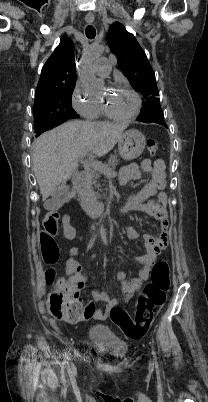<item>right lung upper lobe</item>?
Here are the masks:
<instances>
[{
  "instance_id": "right-lung-upper-lobe-1",
  "label": "right lung upper lobe",
  "mask_w": 208,
  "mask_h": 402,
  "mask_svg": "<svg viewBox=\"0 0 208 402\" xmlns=\"http://www.w3.org/2000/svg\"><path fill=\"white\" fill-rule=\"evenodd\" d=\"M74 45L69 38H61L53 54L42 68L36 94L54 87L76 82Z\"/></svg>"
}]
</instances>
